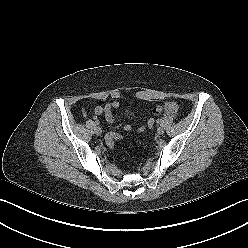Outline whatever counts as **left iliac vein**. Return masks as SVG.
Returning <instances> with one entry per match:
<instances>
[{
	"label": "left iliac vein",
	"instance_id": "1",
	"mask_svg": "<svg viewBox=\"0 0 248 248\" xmlns=\"http://www.w3.org/2000/svg\"><path fill=\"white\" fill-rule=\"evenodd\" d=\"M157 133L158 135H162L164 133V129L162 127H158Z\"/></svg>",
	"mask_w": 248,
	"mask_h": 248
}]
</instances>
